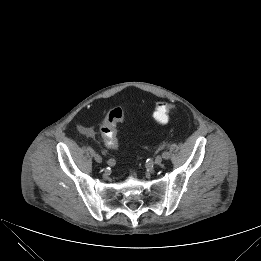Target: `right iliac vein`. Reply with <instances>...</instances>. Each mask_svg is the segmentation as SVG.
<instances>
[{
  "mask_svg": "<svg viewBox=\"0 0 261 261\" xmlns=\"http://www.w3.org/2000/svg\"><path fill=\"white\" fill-rule=\"evenodd\" d=\"M93 157L96 163L101 164L103 162V159L99 154H94Z\"/></svg>",
  "mask_w": 261,
  "mask_h": 261,
  "instance_id": "63e3f726",
  "label": "right iliac vein"
}]
</instances>
